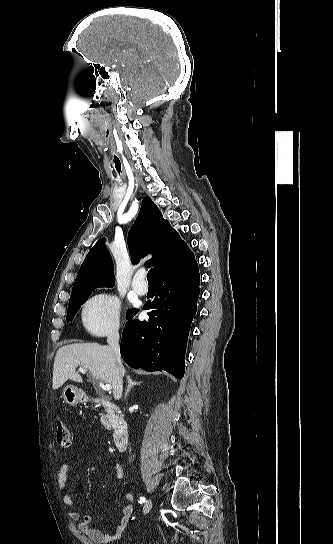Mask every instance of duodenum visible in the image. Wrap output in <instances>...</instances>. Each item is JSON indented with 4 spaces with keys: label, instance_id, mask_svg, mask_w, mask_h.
<instances>
[{
    "label": "duodenum",
    "instance_id": "obj_1",
    "mask_svg": "<svg viewBox=\"0 0 333 544\" xmlns=\"http://www.w3.org/2000/svg\"><path fill=\"white\" fill-rule=\"evenodd\" d=\"M89 401L92 404L103 407L112 413L115 419L113 443L117 451H124L128 443V425L121 410L103 398H91Z\"/></svg>",
    "mask_w": 333,
    "mask_h": 544
}]
</instances>
